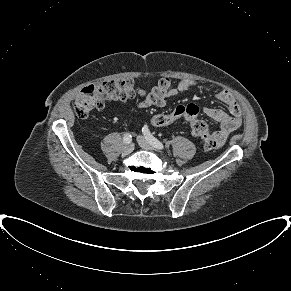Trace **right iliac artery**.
Instances as JSON below:
<instances>
[{"instance_id": "right-iliac-artery-1", "label": "right iliac artery", "mask_w": 291, "mask_h": 291, "mask_svg": "<svg viewBox=\"0 0 291 291\" xmlns=\"http://www.w3.org/2000/svg\"><path fill=\"white\" fill-rule=\"evenodd\" d=\"M123 141L126 144H130L132 141L131 134H129V133L124 134Z\"/></svg>"}]
</instances>
